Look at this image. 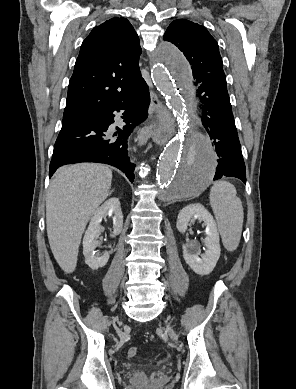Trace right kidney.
I'll return each mask as SVG.
<instances>
[{
	"mask_svg": "<svg viewBox=\"0 0 296 389\" xmlns=\"http://www.w3.org/2000/svg\"><path fill=\"white\" fill-rule=\"evenodd\" d=\"M106 216H110L113 219V234H120L123 227V215L118 198L112 197L97 208L85 232L83 255L85 263L93 270L104 267L110 256L108 252H105L102 256L95 254V248L98 245L96 239L99 237L102 229L101 222Z\"/></svg>",
	"mask_w": 296,
	"mask_h": 389,
	"instance_id": "obj_1",
	"label": "right kidney"
}]
</instances>
